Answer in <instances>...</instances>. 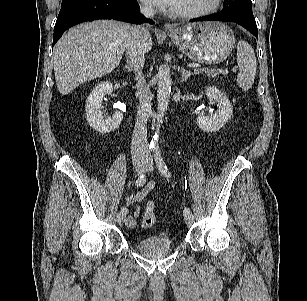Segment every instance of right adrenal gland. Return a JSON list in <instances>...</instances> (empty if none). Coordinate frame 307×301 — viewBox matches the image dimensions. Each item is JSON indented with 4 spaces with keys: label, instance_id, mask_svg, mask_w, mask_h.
<instances>
[{
    "label": "right adrenal gland",
    "instance_id": "right-adrenal-gland-1",
    "mask_svg": "<svg viewBox=\"0 0 307 301\" xmlns=\"http://www.w3.org/2000/svg\"><path fill=\"white\" fill-rule=\"evenodd\" d=\"M125 68H126L129 72H131V67H130L129 65H125Z\"/></svg>",
    "mask_w": 307,
    "mask_h": 301
}]
</instances>
